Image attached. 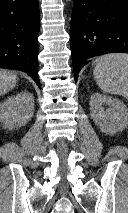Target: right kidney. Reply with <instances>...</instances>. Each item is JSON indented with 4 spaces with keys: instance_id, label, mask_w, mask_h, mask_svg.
<instances>
[{
    "instance_id": "ca27d5eb",
    "label": "right kidney",
    "mask_w": 128,
    "mask_h": 213,
    "mask_svg": "<svg viewBox=\"0 0 128 213\" xmlns=\"http://www.w3.org/2000/svg\"><path fill=\"white\" fill-rule=\"evenodd\" d=\"M34 114V98L28 92H20L0 104V122L6 129H15L27 124Z\"/></svg>"
}]
</instances>
